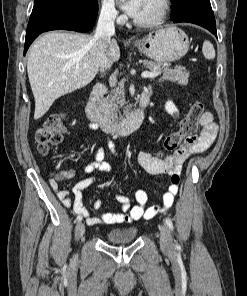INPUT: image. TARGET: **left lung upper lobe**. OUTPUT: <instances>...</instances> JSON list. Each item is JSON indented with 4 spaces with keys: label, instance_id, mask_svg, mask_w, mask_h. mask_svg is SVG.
I'll use <instances>...</instances> for the list:
<instances>
[{
    "label": "left lung upper lobe",
    "instance_id": "left-lung-upper-lobe-1",
    "mask_svg": "<svg viewBox=\"0 0 247 296\" xmlns=\"http://www.w3.org/2000/svg\"><path fill=\"white\" fill-rule=\"evenodd\" d=\"M192 0H171L172 2V10H171V14L175 13L181 9H183L184 7H186L189 2H191Z\"/></svg>",
    "mask_w": 247,
    "mask_h": 296
}]
</instances>
